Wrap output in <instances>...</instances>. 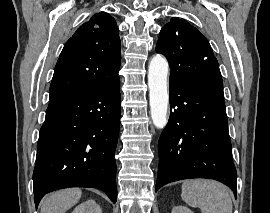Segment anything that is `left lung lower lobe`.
Segmentation results:
<instances>
[{"instance_id":"left-lung-lower-lobe-1","label":"left lung lower lobe","mask_w":270,"mask_h":213,"mask_svg":"<svg viewBox=\"0 0 270 213\" xmlns=\"http://www.w3.org/2000/svg\"><path fill=\"white\" fill-rule=\"evenodd\" d=\"M170 119L158 144L155 191L189 178H209L229 186L236 195L237 172L224 96L195 85L170 83Z\"/></svg>"}]
</instances>
